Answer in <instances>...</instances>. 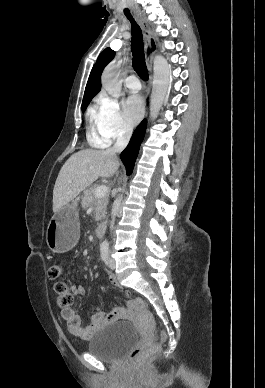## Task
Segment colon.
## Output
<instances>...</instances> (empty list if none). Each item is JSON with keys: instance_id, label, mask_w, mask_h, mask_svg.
I'll use <instances>...</instances> for the list:
<instances>
[{"instance_id": "5ec220e1", "label": "colon", "mask_w": 265, "mask_h": 388, "mask_svg": "<svg viewBox=\"0 0 265 388\" xmlns=\"http://www.w3.org/2000/svg\"><path fill=\"white\" fill-rule=\"evenodd\" d=\"M48 274L51 279L56 280L54 291L57 294L58 306L62 309L70 308L74 303V293L72 292L71 287L60 279L63 274L62 266L59 263L52 264L48 270ZM142 306L145 307L146 304L142 303ZM162 337H164V334H162ZM157 349V345H151L147 348H135L130 354V360L138 362L143 357L155 352Z\"/></svg>"}]
</instances>
